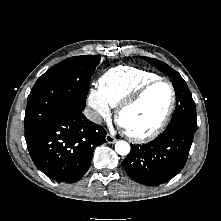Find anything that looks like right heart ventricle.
Segmentation results:
<instances>
[{"instance_id": "1", "label": "right heart ventricle", "mask_w": 221, "mask_h": 221, "mask_svg": "<svg viewBox=\"0 0 221 221\" xmlns=\"http://www.w3.org/2000/svg\"><path fill=\"white\" fill-rule=\"evenodd\" d=\"M157 77L147 70L121 65L107 70L99 78L98 91L109 106L116 107L141 85Z\"/></svg>"}]
</instances>
